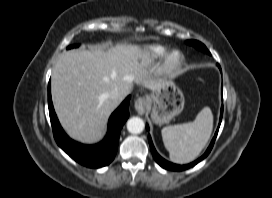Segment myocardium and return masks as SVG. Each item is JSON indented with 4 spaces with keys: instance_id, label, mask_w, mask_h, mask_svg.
Segmentation results:
<instances>
[{
    "instance_id": "myocardium-1",
    "label": "myocardium",
    "mask_w": 272,
    "mask_h": 198,
    "mask_svg": "<svg viewBox=\"0 0 272 198\" xmlns=\"http://www.w3.org/2000/svg\"><path fill=\"white\" fill-rule=\"evenodd\" d=\"M184 63V56L179 50H171L164 56L161 69L164 73L173 75L177 73Z\"/></svg>"
}]
</instances>
